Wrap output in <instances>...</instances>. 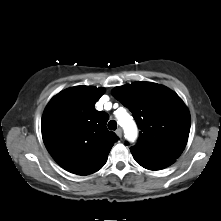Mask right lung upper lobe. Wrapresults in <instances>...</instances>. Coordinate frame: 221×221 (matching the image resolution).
<instances>
[{"label":"right lung upper lobe","mask_w":221,"mask_h":221,"mask_svg":"<svg viewBox=\"0 0 221 221\" xmlns=\"http://www.w3.org/2000/svg\"><path fill=\"white\" fill-rule=\"evenodd\" d=\"M103 88L75 86L54 96L42 117V137L54 160L65 170L92 174L103 167L118 137L108 131V114L95 103Z\"/></svg>","instance_id":"obj_1"}]
</instances>
